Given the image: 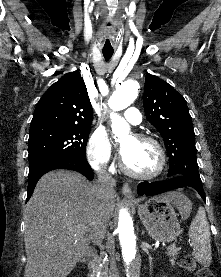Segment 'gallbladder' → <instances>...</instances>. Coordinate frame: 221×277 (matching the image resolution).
<instances>
[{
    "mask_svg": "<svg viewBox=\"0 0 221 277\" xmlns=\"http://www.w3.org/2000/svg\"><path fill=\"white\" fill-rule=\"evenodd\" d=\"M89 259H90V257L85 256V257L82 259V262H83V263H86V262H88V261H89Z\"/></svg>",
    "mask_w": 221,
    "mask_h": 277,
    "instance_id": "obj_1",
    "label": "gallbladder"
}]
</instances>
